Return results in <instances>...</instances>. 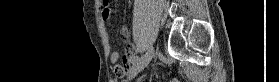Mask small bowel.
<instances>
[{"mask_svg": "<svg viewBox=\"0 0 279 82\" xmlns=\"http://www.w3.org/2000/svg\"><path fill=\"white\" fill-rule=\"evenodd\" d=\"M98 7L101 10L102 17L108 19L111 14L108 1L99 0ZM121 34L124 38H127L128 33L125 28H122ZM137 47L135 45H128L123 56V65H119L120 54L117 51H110V61L114 64V74L117 77H123L128 69L133 64L134 58L136 57Z\"/></svg>", "mask_w": 279, "mask_h": 82, "instance_id": "obj_1", "label": "small bowel"}]
</instances>
